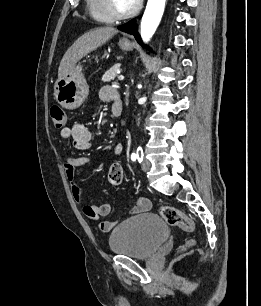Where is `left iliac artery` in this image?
I'll return each instance as SVG.
<instances>
[{
	"label": "left iliac artery",
	"instance_id": "1",
	"mask_svg": "<svg viewBox=\"0 0 261 306\" xmlns=\"http://www.w3.org/2000/svg\"><path fill=\"white\" fill-rule=\"evenodd\" d=\"M131 159L132 161H138V162H142L143 161V149L142 147H138L136 153H132L131 155Z\"/></svg>",
	"mask_w": 261,
	"mask_h": 306
}]
</instances>
